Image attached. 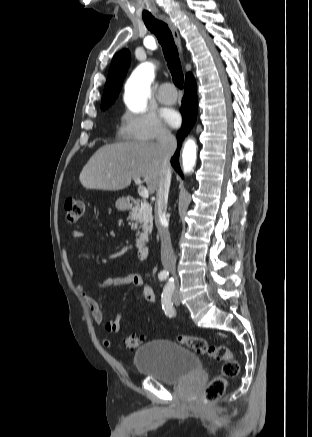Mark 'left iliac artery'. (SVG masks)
<instances>
[{"label": "left iliac artery", "mask_w": 312, "mask_h": 437, "mask_svg": "<svg viewBox=\"0 0 312 437\" xmlns=\"http://www.w3.org/2000/svg\"><path fill=\"white\" fill-rule=\"evenodd\" d=\"M175 285H174V280L171 278L166 286L163 289V292L161 294V303H162V308L165 311V314L168 316H173L175 311L173 309V303L171 301V296L172 293L174 291Z\"/></svg>", "instance_id": "left-iliac-artery-1"}]
</instances>
